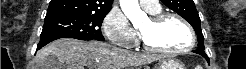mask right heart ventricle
I'll use <instances>...</instances> for the list:
<instances>
[{
  "label": "right heart ventricle",
  "mask_w": 246,
  "mask_h": 69,
  "mask_svg": "<svg viewBox=\"0 0 246 69\" xmlns=\"http://www.w3.org/2000/svg\"><path fill=\"white\" fill-rule=\"evenodd\" d=\"M159 13H160V9L156 12L151 13V14L154 15V14H159Z\"/></svg>",
  "instance_id": "obj_1"
}]
</instances>
